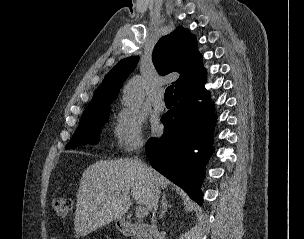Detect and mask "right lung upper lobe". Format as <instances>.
I'll return each mask as SVG.
<instances>
[{"instance_id": "obj_1", "label": "right lung upper lobe", "mask_w": 304, "mask_h": 239, "mask_svg": "<svg viewBox=\"0 0 304 239\" xmlns=\"http://www.w3.org/2000/svg\"><path fill=\"white\" fill-rule=\"evenodd\" d=\"M152 60L161 75L180 73V78L174 82L175 92L206 73L195 35L183 27H178L173 33L158 41L153 50ZM137 62L138 56H131L118 62L97 88L83 115L109 106L117 98L120 87L134 70Z\"/></svg>"}]
</instances>
